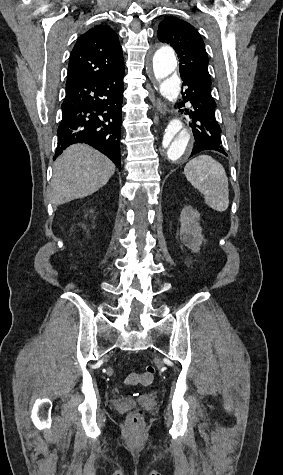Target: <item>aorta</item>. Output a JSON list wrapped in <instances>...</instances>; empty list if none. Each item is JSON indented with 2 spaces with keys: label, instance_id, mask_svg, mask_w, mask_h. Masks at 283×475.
Wrapping results in <instances>:
<instances>
[{
  "label": "aorta",
  "instance_id": "aorta-1",
  "mask_svg": "<svg viewBox=\"0 0 283 475\" xmlns=\"http://www.w3.org/2000/svg\"><path fill=\"white\" fill-rule=\"evenodd\" d=\"M152 72L159 83L160 92L170 102H175L180 93V80L174 75L177 60L169 46L160 47L150 61ZM193 147L191 131L180 118L168 123L159 144V156L164 163H178L188 158Z\"/></svg>",
  "mask_w": 283,
  "mask_h": 475
}]
</instances>
